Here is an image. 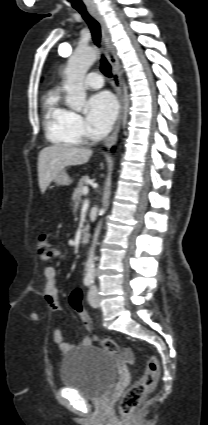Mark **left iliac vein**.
Returning a JSON list of instances; mask_svg holds the SVG:
<instances>
[{
  "label": "left iliac vein",
  "instance_id": "left-iliac-vein-1",
  "mask_svg": "<svg viewBox=\"0 0 208 425\" xmlns=\"http://www.w3.org/2000/svg\"><path fill=\"white\" fill-rule=\"evenodd\" d=\"M88 301L89 304L94 307L97 308L99 305V299H98V288L96 286H92L89 290V294H88Z\"/></svg>",
  "mask_w": 208,
  "mask_h": 425
}]
</instances>
